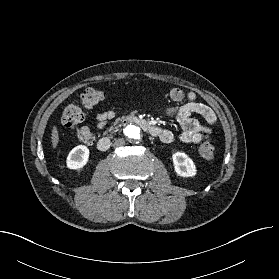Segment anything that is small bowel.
I'll list each match as a JSON object with an SVG mask.
<instances>
[{
	"mask_svg": "<svg viewBox=\"0 0 279 279\" xmlns=\"http://www.w3.org/2000/svg\"><path fill=\"white\" fill-rule=\"evenodd\" d=\"M170 99L175 103L186 102L180 106H168L164 108V112L172 117H175L181 126V133L178 139L184 143H200L204 136L210 134L212 129L210 125L216 121L214 111L207 105L196 101V93L189 91L185 93L179 88H172L169 91ZM197 114L203 117L206 125L200 123L192 115ZM115 117V112L112 110L101 111L96 114L97 126L103 128L110 120ZM159 132L157 137L164 142H172L175 138L174 134L165 128L157 127Z\"/></svg>",
	"mask_w": 279,
	"mask_h": 279,
	"instance_id": "obj_1",
	"label": "small bowel"
}]
</instances>
